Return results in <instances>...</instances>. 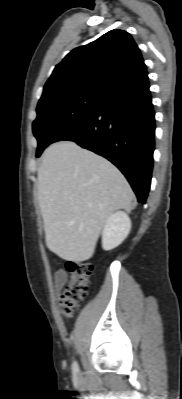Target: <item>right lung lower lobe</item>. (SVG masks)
<instances>
[{
    "label": "right lung lower lobe",
    "mask_w": 182,
    "mask_h": 399,
    "mask_svg": "<svg viewBox=\"0 0 182 399\" xmlns=\"http://www.w3.org/2000/svg\"><path fill=\"white\" fill-rule=\"evenodd\" d=\"M149 80L113 91L93 114L58 132L53 142L74 141L111 161L125 175L138 201L151 183L155 119Z\"/></svg>",
    "instance_id": "98d812e1"
}]
</instances>
